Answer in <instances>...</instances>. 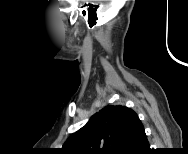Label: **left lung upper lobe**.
Returning <instances> with one entry per match:
<instances>
[{"mask_svg": "<svg viewBox=\"0 0 188 154\" xmlns=\"http://www.w3.org/2000/svg\"><path fill=\"white\" fill-rule=\"evenodd\" d=\"M135 112L125 106L108 105L73 133L62 146L67 154H123Z\"/></svg>", "mask_w": 188, "mask_h": 154, "instance_id": "obj_1", "label": "left lung upper lobe"}]
</instances>
